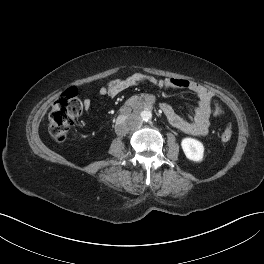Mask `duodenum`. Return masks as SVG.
<instances>
[{
  "label": "duodenum",
  "instance_id": "1",
  "mask_svg": "<svg viewBox=\"0 0 264 264\" xmlns=\"http://www.w3.org/2000/svg\"><path fill=\"white\" fill-rule=\"evenodd\" d=\"M136 102H139V105L138 106L140 108H144V107L151 108L153 106V104H154L153 99L150 96H147V95H143L141 97L136 98L133 101V104H135ZM132 114H133V112L131 110H127L122 115H124L126 118H128Z\"/></svg>",
  "mask_w": 264,
  "mask_h": 264
}]
</instances>
